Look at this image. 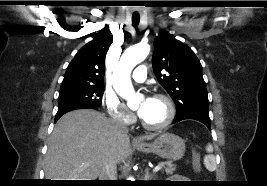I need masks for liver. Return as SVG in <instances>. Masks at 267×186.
<instances>
[{
	"mask_svg": "<svg viewBox=\"0 0 267 186\" xmlns=\"http://www.w3.org/2000/svg\"><path fill=\"white\" fill-rule=\"evenodd\" d=\"M155 134L144 139L151 140ZM130 152L127 133L115 131L114 122L90 109L69 112L57 122L45 156L50 180H96L110 159L124 161Z\"/></svg>",
	"mask_w": 267,
	"mask_h": 186,
	"instance_id": "obj_1",
	"label": "liver"
}]
</instances>
